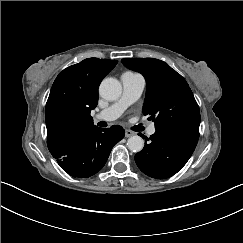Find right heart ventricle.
<instances>
[{
  "instance_id": "e07e8e85",
  "label": "right heart ventricle",
  "mask_w": 243,
  "mask_h": 243,
  "mask_svg": "<svg viewBox=\"0 0 243 243\" xmlns=\"http://www.w3.org/2000/svg\"><path fill=\"white\" fill-rule=\"evenodd\" d=\"M122 76H125V77H127V78H134V79H140L141 78V75L140 74H138V73H136V72H130V71H126V72H124L122 75H121V77Z\"/></svg>"
}]
</instances>
